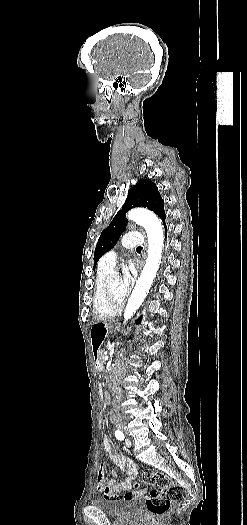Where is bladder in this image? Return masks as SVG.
Wrapping results in <instances>:
<instances>
[{
  "mask_svg": "<svg viewBox=\"0 0 247 525\" xmlns=\"http://www.w3.org/2000/svg\"><path fill=\"white\" fill-rule=\"evenodd\" d=\"M92 503L93 506L101 510L106 516L112 518H123L129 514L138 512L142 508V502L137 498L103 497L93 499Z\"/></svg>",
  "mask_w": 247,
  "mask_h": 525,
  "instance_id": "bladder-1",
  "label": "bladder"
}]
</instances>
